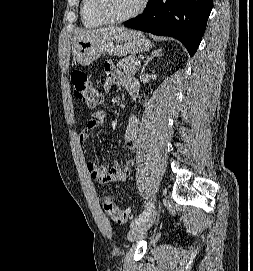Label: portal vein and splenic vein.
Returning a JSON list of instances; mask_svg holds the SVG:
<instances>
[{
	"label": "portal vein and splenic vein",
	"instance_id": "1",
	"mask_svg": "<svg viewBox=\"0 0 253 271\" xmlns=\"http://www.w3.org/2000/svg\"><path fill=\"white\" fill-rule=\"evenodd\" d=\"M135 65H136V66L140 65V61H138V60L135 61Z\"/></svg>",
	"mask_w": 253,
	"mask_h": 271
}]
</instances>
